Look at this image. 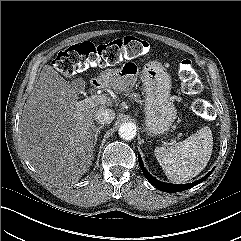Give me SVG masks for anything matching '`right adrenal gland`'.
I'll return each instance as SVG.
<instances>
[{
    "label": "right adrenal gland",
    "instance_id": "right-adrenal-gland-1",
    "mask_svg": "<svg viewBox=\"0 0 241 241\" xmlns=\"http://www.w3.org/2000/svg\"><path fill=\"white\" fill-rule=\"evenodd\" d=\"M104 127V125L95 127L94 131H95V139H94V145L96 144L97 140H98V135L100 134L101 129Z\"/></svg>",
    "mask_w": 241,
    "mask_h": 241
}]
</instances>
